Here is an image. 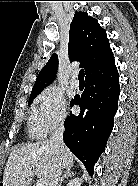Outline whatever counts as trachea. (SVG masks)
<instances>
[{"instance_id": "3493384b", "label": "trachea", "mask_w": 138, "mask_h": 186, "mask_svg": "<svg viewBox=\"0 0 138 186\" xmlns=\"http://www.w3.org/2000/svg\"><path fill=\"white\" fill-rule=\"evenodd\" d=\"M84 76H85L84 70H80L78 75L79 81H84Z\"/></svg>"}]
</instances>
